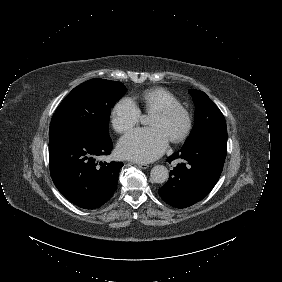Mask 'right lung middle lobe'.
<instances>
[{"instance_id":"dd1d6c3e","label":"right lung middle lobe","mask_w":282,"mask_h":282,"mask_svg":"<svg viewBox=\"0 0 282 282\" xmlns=\"http://www.w3.org/2000/svg\"><path fill=\"white\" fill-rule=\"evenodd\" d=\"M121 82L91 79L74 88L57 108L50 124L49 140L73 130L109 137L111 108L126 93Z\"/></svg>"}]
</instances>
